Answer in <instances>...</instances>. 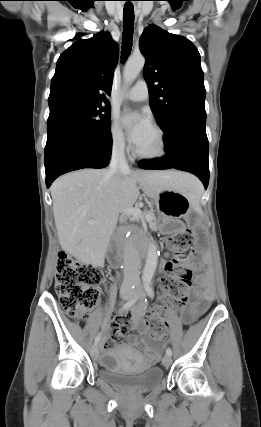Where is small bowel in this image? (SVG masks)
Listing matches in <instances>:
<instances>
[{
    "label": "small bowel",
    "instance_id": "obj_1",
    "mask_svg": "<svg viewBox=\"0 0 261 427\" xmlns=\"http://www.w3.org/2000/svg\"><path fill=\"white\" fill-rule=\"evenodd\" d=\"M171 261H165L162 263L161 267L164 271V276L161 279L162 291L164 294H167L166 290L163 287V280L168 274V267ZM184 266L195 268V256L190 255L181 262ZM197 283L201 287L200 290L195 292V297L197 301L194 302L190 309L185 311L184 321L189 323L196 316L202 314L208 304L212 301L214 297V288L212 281L208 275L199 276ZM109 311L112 315L116 314V311L113 308L112 304L108 305ZM147 305L145 303L140 304L131 308L129 311L121 314L117 317L114 322L111 330L106 333V338L103 342V348L109 349L118 338L122 337L128 330L129 327H132L134 331H139V334H132L128 336V343L137 348L140 351H143L146 354V357L143 358L139 352L134 353V358L137 361H143L146 365H154L159 361L160 358V347L156 344L158 341H163L165 336L161 335L158 338H147L144 334L145 324H144V314L146 312Z\"/></svg>",
    "mask_w": 261,
    "mask_h": 427
}]
</instances>
